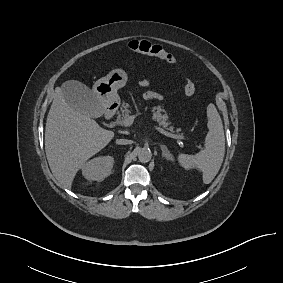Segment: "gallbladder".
<instances>
[{
  "label": "gallbladder",
  "instance_id": "gallbladder-1",
  "mask_svg": "<svg viewBox=\"0 0 283 283\" xmlns=\"http://www.w3.org/2000/svg\"><path fill=\"white\" fill-rule=\"evenodd\" d=\"M61 90L66 103L76 112L94 118L103 114V108L85 84L68 80L62 84Z\"/></svg>",
  "mask_w": 283,
  "mask_h": 283
}]
</instances>
